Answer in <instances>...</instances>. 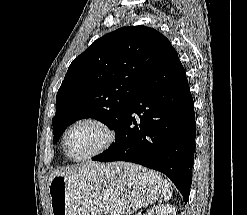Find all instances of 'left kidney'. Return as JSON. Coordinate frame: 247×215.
Masks as SVG:
<instances>
[{
	"label": "left kidney",
	"mask_w": 247,
	"mask_h": 215,
	"mask_svg": "<svg viewBox=\"0 0 247 215\" xmlns=\"http://www.w3.org/2000/svg\"><path fill=\"white\" fill-rule=\"evenodd\" d=\"M147 215H176V209L172 205H159L150 209Z\"/></svg>",
	"instance_id": "left-kidney-1"
}]
</instances>
